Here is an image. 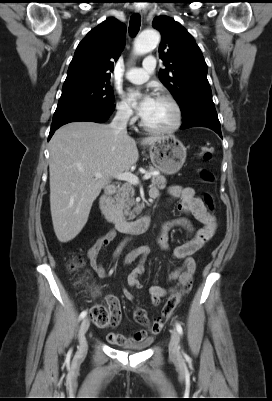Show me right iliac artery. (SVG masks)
Instances as JSON below:
<instances>
[{"label": "right iliac artery", "mask_w": 272, "mask_h": 401, "mask_svg": "<svg viewBox=\"0 0 272 401\" xmlns=\"http://www.w3.org/2000/svg\"><path fill=\"white\" fill-rule=\"evenodd\" d=\"M86 315H87V311H86V310H84V311H82V312H81V314H80L79 318H80V319H83V318H85V317H86Z\"/></svg>", "instance_id": "82829eb1"}]
</instances>
